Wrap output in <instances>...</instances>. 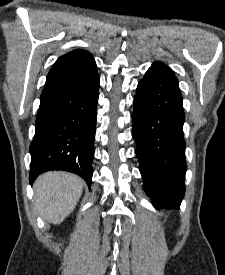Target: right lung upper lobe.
Masks as SVG:
<instances>
[{"label":"right lung upper lobe","mask_w":225,"mask_h":275,"mask_svg":"<svg viewBox=\"0 0 225 275\" xmlns=\"http://www.w3.org/2000/svg\"><path fill=\"white\" fill-rule=\"evenodd\" d=\"M96 75V63L92 55L82 49L74 50L59 57L54 63L41 96L88 86L93 83Z\"/></svg>","instance_id":"right-lung-upper-lobe-1"}]
</instances>
